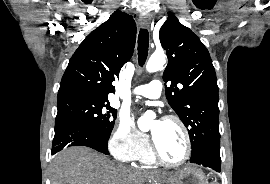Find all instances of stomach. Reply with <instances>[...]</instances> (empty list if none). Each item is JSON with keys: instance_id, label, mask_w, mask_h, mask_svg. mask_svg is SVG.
Segmentation results:
<instances>
[{"instance_id": "1", "label": "stomach", "mask_w": 270, "mask_h": 184, "mask_svg": "<svg viewBox=\"0 0 270 184\" xmlns=\"http://www.w3.org/2000/svg\"><path fill=\"white\" fill-rule=\"evenodd\" d=\"M167 184H208L201 170L187 166L166 175Z\"/></svg>"}]
</instances>
